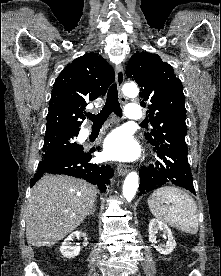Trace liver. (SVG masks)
I'll return each instance as SVG.
<instances>
[{"label": "liver", "mask_w": 221, "mask_h": 276, "mask_svg": "<svg viewBox=\"0 0 221 276\" xmlns=\"http://www.w3.org/2000/svg\"><path fill=\"white\" fill-rule=\"evenodd\" d=\"M97 188L80 179L45 175L27 201L26 239L30 246H51L74 231L91 211Z\"/></svg>", "instance_id": "liver-1"}]
</instances>
